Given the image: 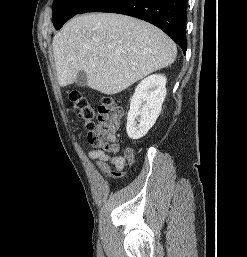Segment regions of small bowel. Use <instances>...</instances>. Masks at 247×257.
I'll return each instance as SVG.
<instances>
[{
	"label": "small bowel",
	"mask_w": 247,
	"mask_h": 257,
	"mask_svg": "<svg viewBox=\"0 0 247 257\" xmlns=\"http://www.w3.org/2000/svg\"><path fill=\"white\" fill-rule=\"evenodd\" d=\"M129 155L110 156L102 149H91L88 152L90 159L94 160L103 174L106 176H122L123 170L128 161L132 158V151L126 149Z\"/></svg>",
	"instance_id": "1"
}]
</instances>
